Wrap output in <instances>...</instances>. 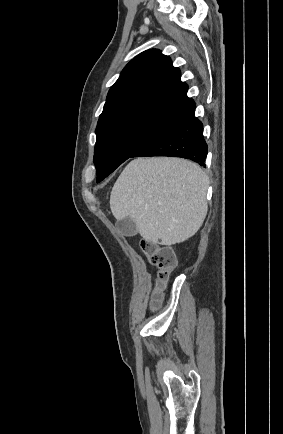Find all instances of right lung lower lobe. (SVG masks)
Segmentation results:
<instances>
[{"label": "right lung lower lobe", "mask_w": 283, "mask_h": 434, "mask_svg": "<svg viewBox=\"0 0 283 434\" xmlns=\"http://www.w3.org/2000/svg\"><path fill=\"white\" fill-rule=\"evenodd\" d=\"M203 124L195 117V108L173 120L131 157L171 156L191 159L201 166L207 156Z\"/></svg>", "instance_id": "98d812e1"}]
</instances>
